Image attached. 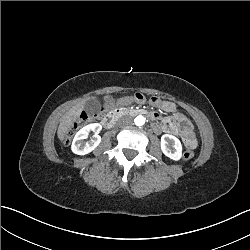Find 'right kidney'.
I'll use <instances>...</instances> for the list:
<instances>
[{
    "mask_svg": "<svg viewBox=\"0 0 250 250\" xmlns=\"http://www.w3.org/2000/svg\"><path fill=\"white\" fill-rule=\"evenodd\" d=\"M102 130V126L100 123H93L88 124L81 128L76 135L74 136V139L72 141L71 149L74 153L79 155H84L90 151H92L100 142H101V136L99 133ZM89 131H93L92 138L84 142L85 139H87V133Z\"/></svg>",
    "mask_w": 250,
    "mask_h": 250,
    "instance_id": "right-kidney-1",
    "label": "right kidney"
}]
</instances>
